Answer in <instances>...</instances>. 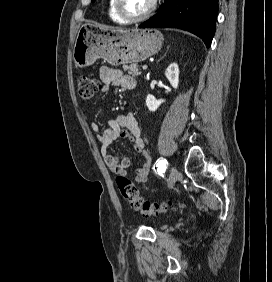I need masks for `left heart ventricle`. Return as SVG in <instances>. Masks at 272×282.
<instances>
[{
    "label": "left heart ventricle",
    "mask_w": 272,
    "mask_h": 282,
    "mask_svg": "<svg viewBox=\"0 0 272 282\" xmlns=\"http://www.w3.org/2000/svg\"><path fill=\"white\" fill-rule=\"evenodd\" d=\"M123 6L131 15L137 16L145 13L153 0H122Z\"/></svg>",
    "instance_id": "obj_1"
}]
</instances>
